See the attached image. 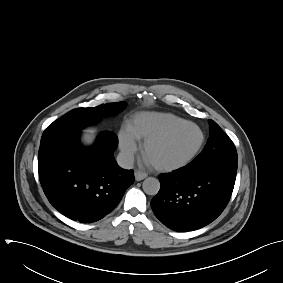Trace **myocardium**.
<instances>
[{
	"instance_id": "1",
	"label": "myocardium",
	"mask_w": 283,
	"mask_h": 283,
	"mask_svg": "<svg viewBox=\"0 0 283 283\" xmlns=\"http://www.w3.org/2000/svg\"><path fill=\"white\" fill-rule=\"evenodd\" d=\"M185 125L193 126L194 128H196L198 130V132L200 134V139H199V142L197 143L196 147L184 159L180 160L179 162L173 163V164L158 165V164L150 163L147 160L149 162L150 166L153 169H155L159 172H164V173L174 172V171H177V170H180V169L186 167L198 156V154L200 153V151L203 148V145L205 143V134H204V131L202 130V128L199 125H197L196 123H194L192 121H188V120L178 122V123L168 127L167 129L163 130L162 132L145 139L143 141L142 145H141V153L146 158V150L148 149L149 146L163 141L170 134H172L175 130H177L178 128L185 126Z\"/></svg>"
}]
</instances>
